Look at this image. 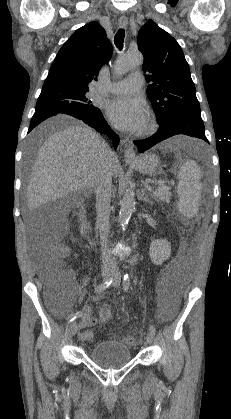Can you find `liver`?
Wrapping results in <instances>:
<instances>
[{"instance_id": "obj_1", "label": "liver", "mask_w": 231, "mask_h": 419, "mask_svg": "<svg viewBox=\"0 0 231 419\" xmlns=\"http://www.w3.org/2000/svg\"><path fill=\"white\" fill-rule=\"evenodd\" d=\"M65 117L47 121L45 128ZM108 145L91 128L73 125L50 134L40 147L27 187L30 210L64 198L68 194L94 188L106 159ZM111 176L118 174L117 156L108 160Z\"/></svg>"}]
</instances>
